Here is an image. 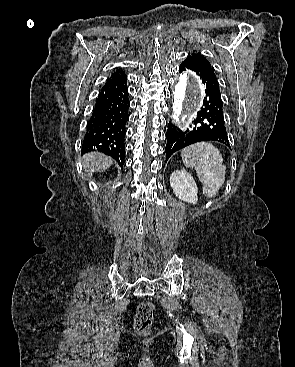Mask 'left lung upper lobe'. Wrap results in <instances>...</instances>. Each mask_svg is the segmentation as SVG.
<instances>
[{
  "instance_id": "obj_1",
  "label": "left lung upper lobe",
  "mask_w": 295,
  "mask_h": 367,
  "mask_svg": "<svg viewBox=\"0 0 295 367\" xmlns=\"http://www.w3.org/2000/svg\"><path fill=\"white\" fill-rule=\"evenodd\" d=\"M187 58H191L200 64H204L208 67H211V64L209 63V61L200 53H191V55H189Z\"/></svg>"
}]
</instances>
